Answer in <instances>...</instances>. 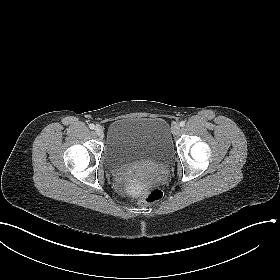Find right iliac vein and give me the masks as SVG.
<instances>
[{"instance_id": "right-iliac-vein-1", "label": "right iliac vein", "mask_w": 280, "mask_h": 280, "mask_svg": "<svg viewBox=\"0 0 280 280\" xmlns=\"http://www.w3.org/2000/svg\"><path fill=\"white\" fill-rule=\"evenodd\" d=\"M95 132H96V134L97 135H102L103 134V127L102 126H100V125H97L96 127H95Z\"/></svg>"}]
</instances>
